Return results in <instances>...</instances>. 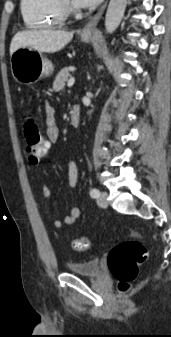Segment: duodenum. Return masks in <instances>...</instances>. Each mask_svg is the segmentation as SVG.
<instances>
[{"label": "duodenum", "mask_w": 171, "mask_h": 337, "mask_svg": "<svg viewBox=\"0 0 171 337\" xmlns=\"http://www.w3.org/2000/svg\"><path fill=\"white\" fill-rule=\"evenodd\" d=\"M70 118L72 126L78 127L80 124V107L78 105L72 106Z\"/></svg>", "instance_id": "1"}]
</instances>
